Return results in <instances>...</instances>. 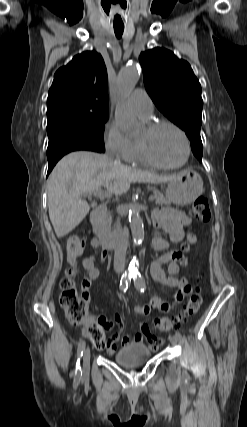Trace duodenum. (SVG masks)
<instances>
[{
	"mask_svg": "<svg viewBox=\"0 0 247 427\" xmlns=\"http://www.w3.org/2000/svg\"><path fill=\"white\" fill-rule=\"evenodd\" d=\"M106 208L104 205L96 207L91 215L90 221L92 225V230L94 233V239L106 250H111L115 246V242L111 235L107 234L102 225V219Z\"/></svg>",
	"mask_w": 247,
	"mask_h": 427,
	"instance_id": "duodenum-1",
	"label": "duodenum"
}]
</instances>
